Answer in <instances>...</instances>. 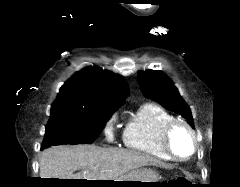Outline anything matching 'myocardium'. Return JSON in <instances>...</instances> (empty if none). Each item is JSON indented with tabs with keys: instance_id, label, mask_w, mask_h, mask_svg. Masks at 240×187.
I'll list each match as a JSON object with an SVG mask.
<instances>
[{
	"instance_id": "f54148a6",
	"label": "myocardium",
	"mask_w": 240,
	"mask_h": 187,
	"mask_svg": "<svg viewBox=\"0 0 240 187\" xmlns=\"http://www.w3.org/2000/svg\"><path fill=\"white\" fill-rule=\"evenodd\" d=\"M177 130L185 131L191 142V151L185 156L178 154L173 146V136ZM162 144L167 154H169L172 159L179 162L190 160L198 150V142L194 129L186 121L175 118L164 126L162 132Z\"/></svg>"
}]
</instances>
